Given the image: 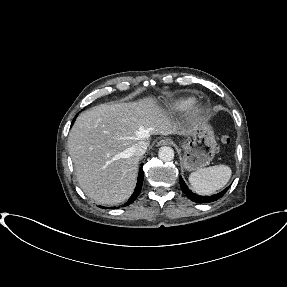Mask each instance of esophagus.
Returning a JSON list of instances; mask_svg holds the SVG:
<instances>
[{
	"instance_id": "obj_1",
	"label": "esophagus",
	"mask_w": 287,
	"mask_h": 287,
	"mask_svg": "<svg viewBox=\"0 0 287 287\" xmlns=\"http://www.w3.org/2000/svg\"><path fill=\"white\" fill-rule=\"evenodd\" d=\"M172 144V140L169 138H162L157 142V146H164Z\"/></svg>"
}]
</instances>
